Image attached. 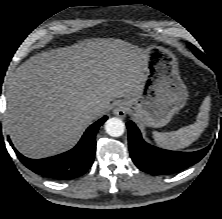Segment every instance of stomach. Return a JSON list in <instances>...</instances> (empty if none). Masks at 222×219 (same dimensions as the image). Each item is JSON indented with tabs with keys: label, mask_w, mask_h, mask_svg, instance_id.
Wrapping results in <instances>:
<instances>
[{
	"label": "stomach",
	"mask_w": 222,
	"mask_h": 219,
	"mask_svg": "<svg viewBox=\"0 0 222 219\" xmlns=\"http://www.w3.org/2000/svg\"><path fill=\"white\" fill-rule=\"evenodd\" d=\"M144 51L147 57L142 89L122 104L135 119L158 128L184 107L188 91L180 78L177 58L170 50L151 45Z\"/></svg>",
	"instance_id": "1"
}]
</instances>
